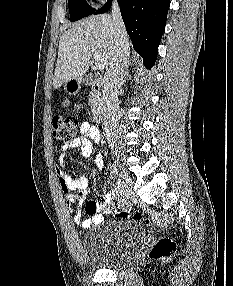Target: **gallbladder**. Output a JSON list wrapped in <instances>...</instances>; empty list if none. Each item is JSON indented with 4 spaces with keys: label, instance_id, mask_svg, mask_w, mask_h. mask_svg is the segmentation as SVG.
I'll return each instance as SVG.
<instances>
[{
    "label": "gallbladder",
    "instance_id": "obj_1",
    "mask_svg": "<svg viewBox=\"0 0 233 286\" xmlns=\"http://www.w3.org/2000/svg\"><path fill=\"white\" fill-rule=\"evenodd\" d=\"M87 77H88L89 81H92V80L94 79V77H93L92 74H89ZM87 83H88V82H87ZM87 83H86V85H87ZM69 104H70V102H69L68 99H66V100L62 103V105L65 106V107L69 106Z\"/></svg>",
    "mask_w": 233,
    "mask_h": 286
}]
</instances>
